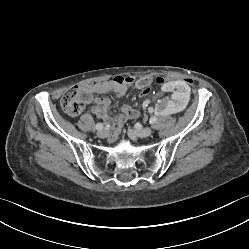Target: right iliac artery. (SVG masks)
<instances>
[{
  "mask_svg": "<svg viewBox=\"0 0 249 249\" xmlns=\"http://www.w3.org/2000/svg\"><path fill=\"white\" fill-rule=\"evenodd\" d=\"M103 127H104V126H103L102 123H97V124H96V129H97V130H101V129H103Z\"/></svg>",
  "mask_w": 249,
  "mask_h": 249,
  "instance_id": "right-iliac-artery-1",
  "label": "right iliac artery"
}]
</instances>
